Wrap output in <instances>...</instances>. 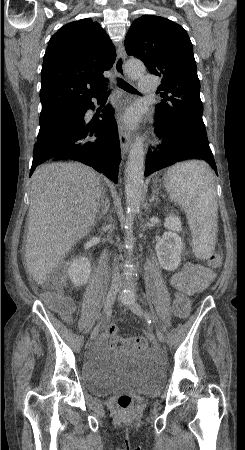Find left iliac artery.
Returning a JSON list of instances; mask_svg holds the SVG:
<instances>
[{
  "mask_svg": "<svg viewBox=\"0 0 245 450\" xmlns=\"http://www.w3.org/2000/svg\"><path fill=\"white\" fill-rule=\"evenodd\" d=\"M146 316H147V319H148L149 323H151V322L155 323V319L153 317H150V315L148 313L146 314Z\"/></svg>",
  "mask_w": 245,
  "mask_h": 450,
  "instance_id": "1",
  "label": "left iliac artery"
}]
</instances>
